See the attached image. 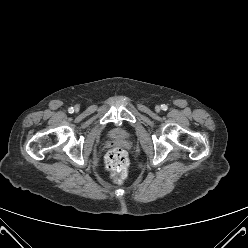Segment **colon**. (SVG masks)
I'll list each match as a JSON object with an SVG mask.
<instances>
[{
  "label": "colon",
  "instance_id": "5ec220e1",
  "mask_svg": "<svg viewBox=\"0 0 248 248\" xmlns=\"http://www.w3.org/2000/svg\"><path fill=\"white\" fill-rule=\"evenodd\" d=\"M105 164L115 181L122 182L127 177L128 159L123 149L119 147L111 149L106 155Z\"/></svg>",
  "mask_w": 248,
  "mask_h": 248
}]
</instances>
